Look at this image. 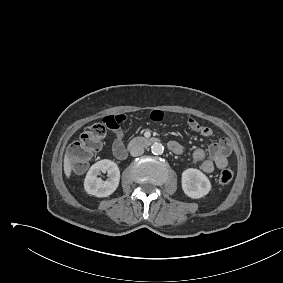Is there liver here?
Listing matches in <instances>:
<instances>
[{
  "label": "liver",
  "mask_w": 283,
  "mask_h": 283,
  "mask_svg": "<svg viewBox=\"0 0 283 283\" xmlns=\"http://www.w3.org/2000/svg\"><path fill=\"white\" fill-rule=\"evenodd\" d=\"M71 172H72L71 160L69 158V154L66 153L64 156V173L67 176V178L70 177Z\"/></svg>",
  "instance_id": "1"
}]
</instances>
